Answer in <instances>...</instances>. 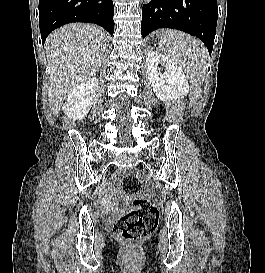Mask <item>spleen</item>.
<instances>
[{"label": "spleen", "mask_w": 265, "mask_h": 273, "mask_svg": "<svg viewBox=\"0 0 265 273\" xmlns=\"http://www.w3.org/2000/svg\"><path fill=\"white\" fill-rule=\"evenodd\" d=\"M159 39L162 50L180 62L191 84H201L206 67V49L201 41L176 30L163 31Z\"/></svg>", "instance_id": "spleen-1"}]
</instances>
